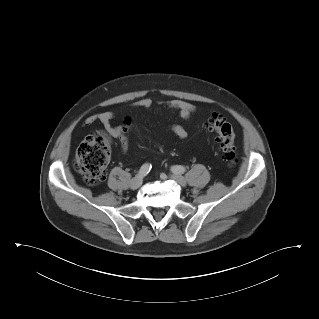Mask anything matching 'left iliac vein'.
Listing matches in <instances>:
<instances>
[{
	"instance_id": "obj_1",
	"label": "left iliac vein",
	"mask_w": 319,
	"mask_h": 319,
	"mask_svg": "<svg viewBox=\"0 0 319 319\" xmlns=\"http://www.w3.org/2000/svg\"><path fill=\"white\" fill-rule=\"evenodd\" d=\"M171 178L181 186H186V184H187L186 179L179 174L175 173V174L171 175Z\"/></svg>"
}]
</instances>
